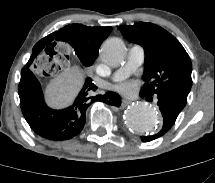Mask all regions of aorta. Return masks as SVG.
<instances>
[{
	"instance_id": "762f6f07",
	"label": "aorta",
	"mask_w": 215,
	"mask_h": 183,
	"mask_svg": "<svg viewBox=\"0 0 215 183\" xmlns=\"http://www.w3.org/2000/svg\"><path fill=\"white\" fill-rule=\"evenodd\" d=\"M102 60L113 67L119 66L125 60L126 47L119 38L106 40L100 49ZM126 126L139 133L151 134L156 132L160 126V117L148 104H134L128 107L124 113Z\"/></svg>"
}]
</instances>
